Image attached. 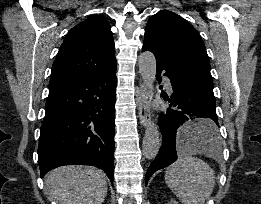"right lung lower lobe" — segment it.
Segmentation results:
<instances>
[{"label": "right lung lower lobe", "mask_w": 261, "mask_h": 204, "mask_svg": "<svg viewBox=\"0 0 261 204\" xmlns=\"http://www.w3.org/2000/svg\"><path fill=\"white\" fill-rule=\"evenodd\" d=\"M116 66L49 87L41 126V176L63 165H91L114 180Z\"/></svg>", "instance_id": "right-lung-lower-lobe-1"}]
</instances>
